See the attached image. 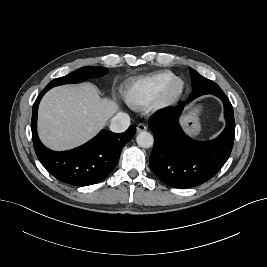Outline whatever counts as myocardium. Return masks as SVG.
<instances>
[{"label":"myocardium","mask_w":267,"mask_h":267,"mask_svg":"<svg viewBox=\"0 0 267 267\" xmlns=\"http://www.w3.org/2000/svg\"><path fill=\"white\" fill-rule=\"evenodd\" d=\"M178 85L175 90L174 87ZM185 84L179 77L172 78L161 90L159 96L154 101L156 108L162 109L174 105L183 95Z\"/></svg>","instance_id":"1"}]
</instances>
